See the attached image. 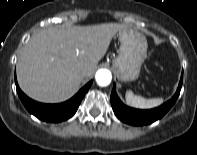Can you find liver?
<instances>
[{"instance_id": "6515ba94", "label": "liver", "mask_w": 197, "mask_h": 155, "mask_svg": "<svg viewBox=\"0 0 197 155\" xmlns=\"http://www.w3.org/2000/svg\"><path fill=\"white\" fill-rule=\"evenodd\" d=\"M127 27L108 23L49 27L32 36L17 63V79L34 100L58 103L69 99L85 77L94 73L113 36ZM85 70L86 74L81 75Z\"/></svg>"}]
</instances>
